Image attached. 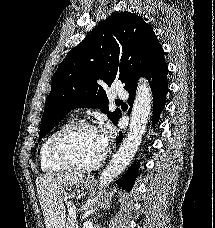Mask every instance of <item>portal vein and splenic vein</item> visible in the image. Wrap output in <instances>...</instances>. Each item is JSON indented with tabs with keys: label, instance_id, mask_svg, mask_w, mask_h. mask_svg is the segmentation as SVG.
Instances as JSON below:
<instances>
[{
	"label": "portal vein and splenic vein",
	"instance_id": "1",
	"mask_svg": "<svg viewBox=\"0 0 215 228\" xmlns=\"http://www.w3.org/2000/svg\"><path fill=\"white\" fill-rule=\"evenodd\" d=\"M72 216L76 218V208H70Z\"/></svg>",
	"mask_w": 215,
	"mask_h": 228
}]
</instances>
